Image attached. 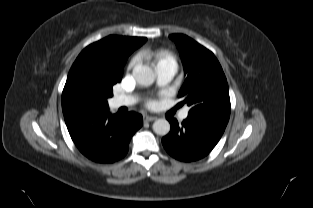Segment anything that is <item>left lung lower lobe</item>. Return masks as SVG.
Wrapping results in <instances>:
<instances>
[{"label":"left lung lower lobe","mask_w":313,"mask_h":208,"mask_svg":"<svg viewBox=\"0 0 313 208\" xmlns=\"http://www.w3.org/2000/svg\"><path fill=\"white\" fill-rule=\"evenodd\" d=\"M171 131L162 138L166 151L174 158L191 162L208 155L220 140L226 123L189 116L179 125L167 117Z\"/></svg>","instance_id":"1"}]
</instances>
